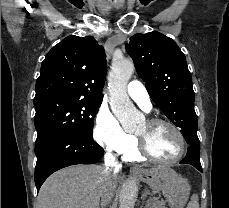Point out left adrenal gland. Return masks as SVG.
<instances>
[{
	"mask_svg": "<svg viewBox=\"0 0 229 208\" xmlns=\"http://www.w3.org/2000/svg\"><path fill=\"white\" fill-rule=\"evenodd\" d=\"M145 192H147V190H145ZM142 196H143V198H144L145 194H142Z\"/></svg>",
	"mask_w": 229,
	"mask_h": 208,
	"instance_id": "a2214340",
	"label": "left adrenal gland"
}]
</instances>
